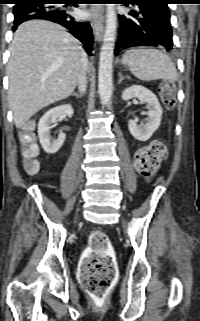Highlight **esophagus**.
<instances>
[{
	"label": "esophagus",
	"mask_w": 200,
	"mask_h": 321,
	"mask_svg": "<svg viewBox=\"0 0 200 321\" xmlns=\"http://www.w3.org/2000/svg\"><path fill=\"white\" fill-rule=\"evenodd\" d=\"M95 15L92 20V28L97 41H101L104 33V15L101 6H94Z\"/></svg>",
	"instance_id": "34e87169"
}]
</instances>
